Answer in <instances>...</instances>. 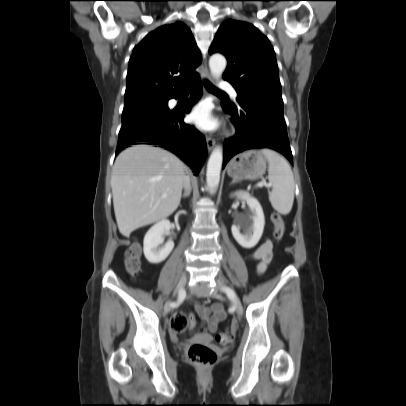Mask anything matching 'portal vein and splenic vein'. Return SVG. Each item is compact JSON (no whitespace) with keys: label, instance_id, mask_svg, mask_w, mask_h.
Returning <instances> with one entry per match:
<instances>
[{"label":"portal vein and splenic vein","instance_id":"obj_1","mask_svg":"<svg viewBox=\"0 0 406 406\" xmlns=\"http://www.w3.org/2000/svg\"><path fill=\"white\" fill-rule=\"evenodd\" d=\"M263 186L269 188V187H271V184L266 183V182H259V183H257V185H256V187H263ZM162 196H163V197H166L167 195H166V194H163Z\"/></svg>","mask_w":406,"mask_h":406}]
</instances>
